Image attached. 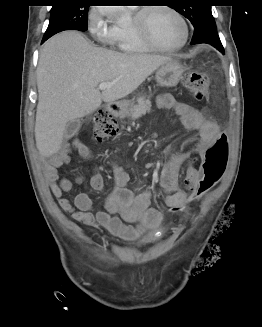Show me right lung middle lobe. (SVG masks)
<instances>
[{"mask_svg": "<svg viewBox=\"0 0 262 327\" xmlns=\"http://www.w3.org/2000/svg\"><path fill=\"white\" fill-rule=\"evenodd\" d=\"M52 6L48 28L43 40L64 30H87L88 7L79 5L77 0H57Z\"/></svg>", "mask_w": 262, "mask_h": 327, "instance_id": "obj_1", "label": "right lung middle lobe"}]
</instances>
